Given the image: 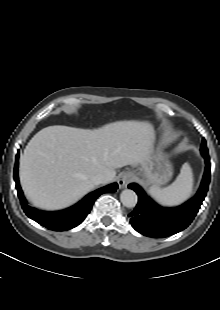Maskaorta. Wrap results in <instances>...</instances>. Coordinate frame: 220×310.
<instances>
[{"label":"aorta","instance_id":"aorta-1","mask_svg":"<svg viewBox=\"0 0 220 310\" xmlns=\"http://www.w3.org/2000/svg\"><path fill=\"white\" fill-rule=\"evenodd\" d=\"M122 204L127 208H132L137 204V195L131 189H125L120 194Z\"/></svg>","mask_w":220,"mask_h":310}]
</instances>
